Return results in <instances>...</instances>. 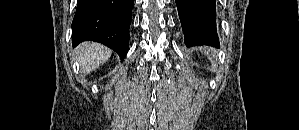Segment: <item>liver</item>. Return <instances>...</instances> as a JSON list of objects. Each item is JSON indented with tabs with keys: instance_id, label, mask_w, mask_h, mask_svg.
I'll list each match as a JSON object with an SVG mask.
<instances>
[{
	"instance_id": "1",
	"label": "liver",
	"mask_w": 299,
	"mask_h": 130,
	"mask_svg": "<svg viewBox=\"0 0 299 130\" xmlns=\"http://www.w3.org/2000/svg\"><path fill=\"white\" fill-rule=\"evenodd\" d=\"M112 51L95 42H85L78 47L81 70L89 73L104 64L111 56Z\"/></svg>"
}]
</instances>
